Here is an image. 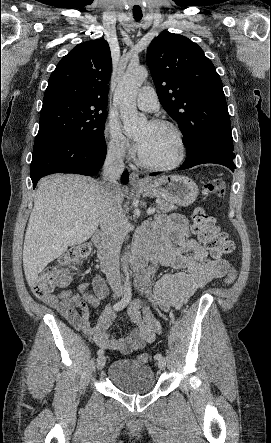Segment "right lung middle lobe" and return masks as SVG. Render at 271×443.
Segmentation results:
<instances>
[{"instance_id":"1","label":"right lung middle lobe","mask_w":271,"mask_h":443,"mask_svg":"<svg viewBox=\"0 0 271 443\" xmlns=\"http://www.w3.org/2000/svg\"><path fill=\"white\" fill-rule=\"evenodd\" d=\"M106 118V107L67 99L43 103L34 149L48 140L103 141Z\"/></svg>"}]
</instances>
